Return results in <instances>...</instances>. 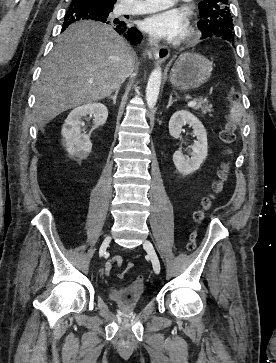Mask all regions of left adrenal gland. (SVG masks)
I'll list each match as a JSON object with an SVG mask.
<instances>
[{
	"instance_id": "left-adrenal-gland-1",
	"label": "left adrenal gland",
	"mask_w": 276,
	"mask_h": 363,
	"mask_svg": "<svg viewBox=\"0 0 276 363\" xmlns=\"http://www.w3.org/2000/svg\"><path fill=\"white\" fill-rule=\"evenodd\" d=\"M177 99H172V94H170V97H169V102H168V105H167V109L174 103L176 102Z\"/></svg>"
}]
</instances>
